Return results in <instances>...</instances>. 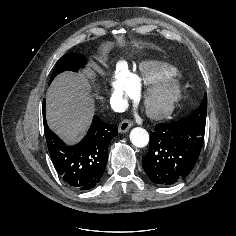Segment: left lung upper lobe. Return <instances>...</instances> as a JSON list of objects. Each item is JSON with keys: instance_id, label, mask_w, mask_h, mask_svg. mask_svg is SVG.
Instances as JSON below:
<instances>
[{"instance_id": "1", "label": "left lung upper lobe", "mask_w": 236, "mask_h": 236, "mask_svg": "<svg viewBox=\"0 0 236 236\" xmlns=\"http://www.w3.org/2000/svg\"><path fill=\"white\" fill-rule=\"evenodd\" d=\"M206 114H207V95H205L200 107L195 110L189 118V121L199 124H206Z\"/></svg>"}]
</instances>
